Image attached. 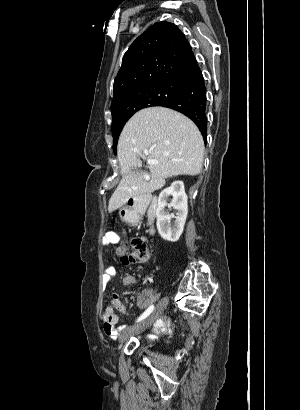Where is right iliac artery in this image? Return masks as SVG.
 Instances as JSON below:
<instances>
[{"instance_id":"1","label":"right iliac artery","mask_w":300,"mask_h":410,"mask_svg":"<svg viewBox=\"0 0 300 410\" xmlns=\"http://www.w3.org/2000/svg\"><path fill=\"white\" fill-rule=\"evenodd\" d=\"M154 310V305H151L137 320V322L144 320L145 318H147L152 311Z\"/></svg>"}]
</instances>
